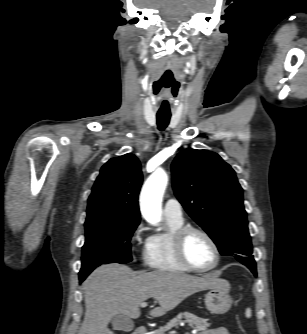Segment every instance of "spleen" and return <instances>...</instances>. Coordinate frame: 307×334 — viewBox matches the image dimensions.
I'll return each mask as SVG.
<instances>
[{
  "instance_id": "obj_1",
  "label": "spleen",
  "mask_w": 307,
  "mask_h": 334,
  "mask_svg": "<svg viewBox=\"0 0 307 334\" xmlns=\"http://www.w3.org/2000/svg\"><path fill=\"white\" fill-rule=\"evenodd\" d=\"M246 317H251V309L247 308L245 312Z\"/></svg>"
}]
</instances>
